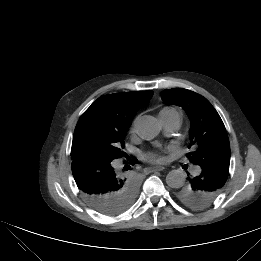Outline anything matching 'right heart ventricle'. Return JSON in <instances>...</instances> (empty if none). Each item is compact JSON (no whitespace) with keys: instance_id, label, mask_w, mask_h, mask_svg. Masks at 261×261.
Wrapping results in <instances>:
<instances>
[{"instance_id":"1","label":"right heart ventricle","mask_w":261,"mask_h":261,"mask_svg":"<svg viewBox=\"0 0 261 261\" xmlns=\"http://www.w3.org/2000/svg\"><path fill=\"white\" fill-rule=\"evenodd\" d=\"M170 110H175V109L166 107V108L162 109L161 111H170Z\"/></svg>"}]
</instances>
